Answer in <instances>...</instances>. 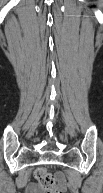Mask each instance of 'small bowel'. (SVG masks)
Masks as SVG:
<instances>
[{
	"mask_svg": "<svg viewBox=\"0 0 103 193\" xmlns=\"http://www.w3.org/2000/svg\"><path fill=\"white\" fill-rule=\"evenodd\" d=\"M67 189V182L65 178L60 175L58 185L53 193H63ZM26 193H46V191L40 187L37 183H30L26 187Z\"/></svg>",
	"mask_w": 103,
	"mask_h": 193,
	"instance_id": "c3829d8e",
	"label": "small bowel"
}]
</instances>
